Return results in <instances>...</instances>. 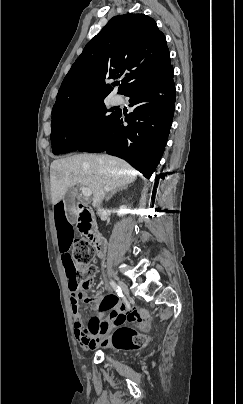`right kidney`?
Here are the masks:
<instances>
[{
  "label": "right kidney",
  "mask_w": 243,
  "mask_h": 404,
  "mask_svg": "<svg viewBox=\"0 0 243 404\" xmlns=\"http://www.w3.org/2000/svg\"><path fill=\"white\" fill-rule=\"evenodd\" d=\"M123 208H121L120 212H118V216H122V214H124V212H122Z\"/></svg>",
  "instance_id": "1"
}]
</instances>
